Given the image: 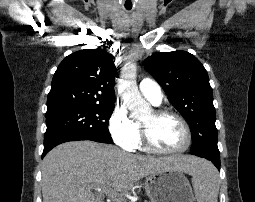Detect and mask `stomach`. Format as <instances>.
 <instances>
[{
  "instance_id": "1",
  "label": "stomach",
  "mask_w": 255,
  "mask_h": 202,
  "mask_svg": "<svg viewBox=\"0 0 255 202\" xmlns=\"http://www.w3.org/2000/svg\"><path fill=\"white\" fill-rule=\"evenodd\" d=\"M151 176L152 186H145L151 202H194L192 188L181 171L169 169Z\"/></svg>"
}]
</instances>
